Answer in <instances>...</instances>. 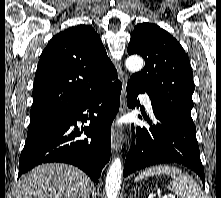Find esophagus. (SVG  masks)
<instances>
[{
    "label": "esophagus",
    "mask_w": 221,
    "mask_h": 198,
    "mask_svg": "<svg viewBox=\"0 0 221 198\" xmlns=\"http://www.w3.org/2000/svg\"><path fill=\"white\" fill-rule=\"evenodd\" d=\"M126 86H127V78L122 81V91H121V101H120V109L119 114H123L126 108ZM122 142V132L120 130H116L112 135V148L114 151H118L121 147Z\"/></svg>",
    "instance_id": "obj_1"
}]
</instances>
